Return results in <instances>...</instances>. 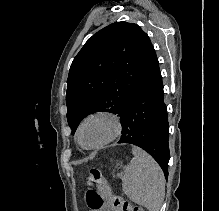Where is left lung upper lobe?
Listing matches in <instances>:
<instances>
[{"label": "left lung upper lobe", "mask_w": 219, "mask_h": 211, "mask_svg": "<svg viewBox=\"0 0 219 211\" xmlns=\"http://www.w3.org/2000/svg\"><path fill=\"white\" fill-rule=\"evenodd\" d=\"M159 67L147 34L136 24L115 22L94 34L74 58L67 79V120L72 133L94 112L122 118L141 85Z\"/></svg>", "instance_id": "5c2ea615"}]
</instances>
